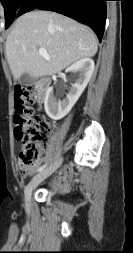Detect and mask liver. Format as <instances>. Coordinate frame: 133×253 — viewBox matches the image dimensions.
Instances as JSON below:
<instances>
[{"instance_id":"1","label":"liver","mask_w":133,"mask_h":253,"mask_svg":"<svg viewBox=\"0 0 133 253\" xmlns=\"http://www.w3.org/2000/svg\"><path fill=\"white\" fill-rule=\"evenodd\" d=\"M39 48L46 49L50 60L39 54ZM97 49V38L89 27L49 11L19 17L6 41V57L15 80L24 73L35 79L56 74L93 57Z\"/></svg>"}]
</instances>
